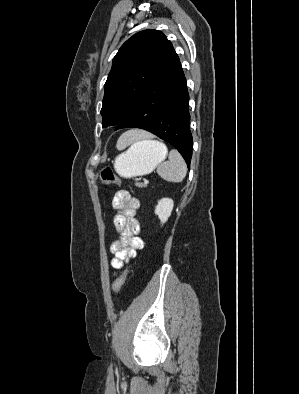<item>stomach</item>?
<instances>
[{
  "mask_svg": "<svg viewBox=\"0 0 299 394\" xmlns=\"http://www.w3.org/2000/svg\"><path fill=\"white\" fill-rule=\"evenodd\" d=\"M167 150L147 141H140L116 158L114 168L124 178L151 173L166 158Z\"/></svg>",
  "mask_w": 299,
  "mask_h": 394,
  "instance_id": "stomach-1",
  "label": "stomach"
}]
</instances>
